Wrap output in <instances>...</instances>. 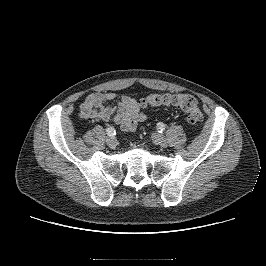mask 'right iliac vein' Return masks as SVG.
I'll use <instances>...</instances> for the list:
<instances>
[{
	"instance_id": "obj_1",
	"label": "right iliac vein",
	"mask_w": 266,
	"mask_h": 266,
	"mask_svg": "<svg viewBox=\"0 0 266 266\" xmlns=\"http://www.w3.org/2000/svg\"><path fill=\"white\" fill-rule=\"evenodd\" d=\"M106 143L110 148H115L117 146V140L115 137H108Z\"/></svg>"
}]
</instances>
